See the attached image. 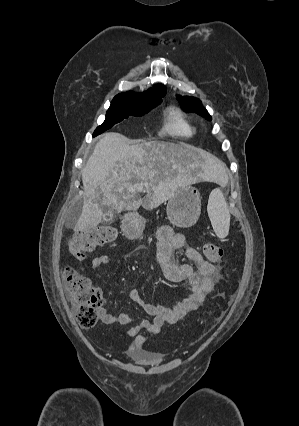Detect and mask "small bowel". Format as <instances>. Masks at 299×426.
<instances>
[{
	"label": "small bowel",
	"instance_id": "obj_1",
	"mask_svg": "<svg viewBox=\"0 0 299 426\" xmlns=\"http://www.w3.org/2000/svg\"><path fill=\"white\" fill-rule=\"evenodd\" d=\"M178 251H183L193 265L176 261L174 254ZM156 258L167 280L187 285L186 298L176 302L172 307H164L146 302L137 289H131L128 293L129 298L151 316L152 320L135 321L125 313L114 314L105 308L98 311L101 322L106 325L119 323L129 326L124 334L134 340L126 350L127 355L148 363L157 360V356L144 349L147 335L159 333L165 323L173 324L196 310L221 277L217 266L206 260L195 248L188 247L184 236L167 225L157 231ZM110 262L111 258L107 254L94 258L92 260L94 275L98 276L101 269Z\"/></svg>",
	"mask_w": 299,
	"mask_h": 426
}]
</instances>
